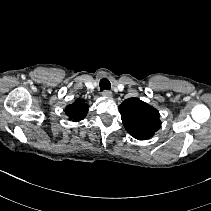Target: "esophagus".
I'll return each instance as SVG.
<instances>
[{
    "instance_id": "esophagus-1",
    "label": "esophagus",
    "mask_w": 211,
    "mask_h": 211,
    "mask_svg": "<svg viewBox=\"0 0 211 211\" xmlns=\"http://www.w3.org/2000/svg\"><path fill=\"white\" fill-rule=\"evenodd\" d=\"M102 95H103L104 97L111 98V97H112V92L109 91V90H104V91L102 92Z\"/></svg>"
}]
</instances>
